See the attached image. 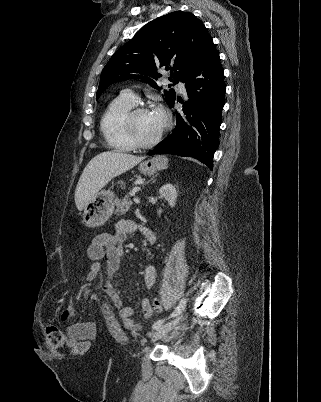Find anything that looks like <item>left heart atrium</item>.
Listing matches in <instances>:
<instances>
[{"label":"left heart atrium","mask_w":321,"mask_h":402,"mask_svg":"<svg viewBox=\"0 0 321 402\" xmlns=\"http://www.w3.org/2000/svg\"><path fill=\"white\" fill-rule=\"evenodd\" d=\"M152 113L158 118H164V113L161 108H156L152 111Z\"/></svg>","instance_id":"39dd6f15"}]
</instances>
